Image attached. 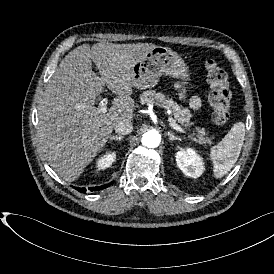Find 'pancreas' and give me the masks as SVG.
<instances>
[{
  "instance_id": "cf45deb5",
  "label": "pancreas",
  "mask_w": 274,
  "mask_h": 274,
  "mask_svg": "<svg viewBox=\"0 0 274 274\" xmlns=\"http://www.w3.org/2000/svg\"><path fill=\"white\" fill-rule=\"evenodd\" d=\"M140 101L142 104H154L166 110H171L174 119L185 127L191 126L190 122L191 113L188 109L182 108L173 99L165 96L163 93L156 92L155 90H147L140 94ZM208 133L205 128L196 127L192 134L189 135L193 141L199 144H212V139L207 137Z\"/></svg>"
}]
</instances>
